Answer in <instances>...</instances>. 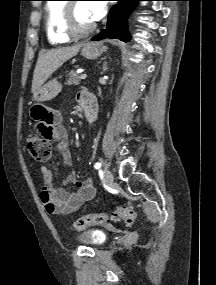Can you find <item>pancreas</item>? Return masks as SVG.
I'll return each mask as SVG.
<instances>
[{
    "mask_svg": "<svg viewBox=\"0 0 216 285\" xmlns=\"http://www.w3.org/2000/svg\"><path fill=\"white\" fill-rule=\"evenodd\" d=\"M81 77V74H78L74 71H71L69 74H68V79L66 80L65 82V85H79L80 84V78Z\"/></svg>",
    "mask_w": 216,
    "mask_h": 285,
    "instance_id": "1",
    "label": "pancreas"
}]
</instances>
